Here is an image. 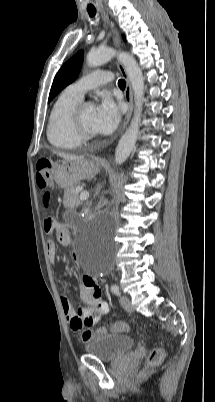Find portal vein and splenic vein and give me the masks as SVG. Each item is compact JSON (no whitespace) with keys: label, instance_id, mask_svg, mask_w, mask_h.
<instances>
[{"label":"portal vein and splenic vein","instance_id":"18ae733b","mask_svg":"<svg viewBox=\"0 0 215 402\" xmlns=\"http://www.w3.org/2000/svg\"><path fill=\"white\" fill-rule=\"evenodd\" d=\"M79 191H80V190L77 189V192H79ZM88 197H89V192H88V191H83V192H81V194H80V200H81V201L87 200Z\"/></svg>","mask_w":215,"mask_h":402}]
</instances>
